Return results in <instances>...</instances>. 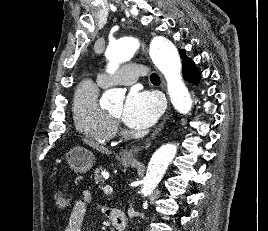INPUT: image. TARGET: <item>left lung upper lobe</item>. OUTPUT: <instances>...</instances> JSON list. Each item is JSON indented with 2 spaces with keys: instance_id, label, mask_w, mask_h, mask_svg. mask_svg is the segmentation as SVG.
<instances>
[{
  "instance_id": "obj_1",
  "label": "left lung upper lobe",
  "mask_w": 268,
  "mask_h": 231,
  "mask_svg": "<svg viewBox=\"0 0 268 231\" xmlns=\"http://www.w3.org/2000/svg\"><path fill=\"white\" fill-rule=\"evenodd\" d=\"M180 55L182 57V61L187 58L184 50H180Z\"/></svg>"
}]
</instances>
